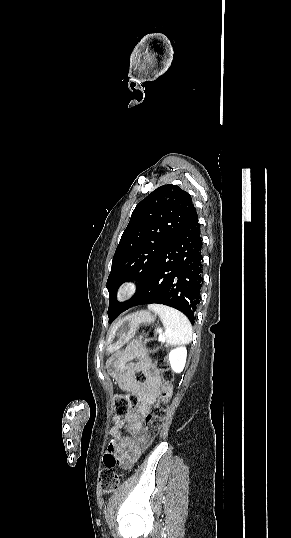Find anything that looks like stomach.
I'll list each match as a JSON object with an SVG mask.
<instances>
[{"label":"stomach","mask_w":291,"mask_h":538,"mask_svg":"<svg viewBox=\"0 0 291 538\" xmlns=\"http://www.w3.org/2000/svg\"><path fill=\"white\" fill-rule=\"evenodd\" d=\"M155 316L148 311H139L118 320L110 329L107 340V352L116 353L135 335L140 324H151Z\"/></svg>","instance_id":"1"}]
</instances>
